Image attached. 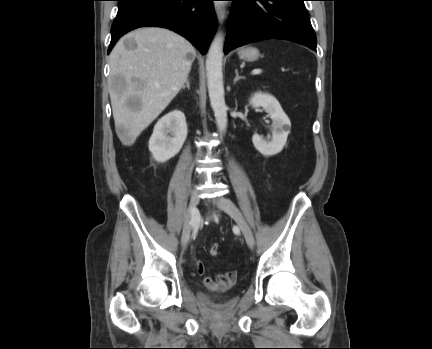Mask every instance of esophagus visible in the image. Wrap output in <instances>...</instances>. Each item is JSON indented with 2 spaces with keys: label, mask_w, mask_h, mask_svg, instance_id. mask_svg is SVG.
Listing matches in <instances>:
<instances>
[{
  "label": "esophagus",
  "mask_w": 432,
  "mask_h": 349,
  "mask_svg": "<svg viewBox=\"0 0 432 349\" xmlns=\"http://www.w3.org/2000/svg\"><path fill=\"white\" fill-rule=\"evenodd\" d=\"M215 11L220 24H223L226 18V9L223 5L215 3Z\"/></svg>",
  "instance_id": "obj_1"
}]
</instances>
